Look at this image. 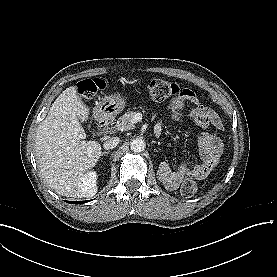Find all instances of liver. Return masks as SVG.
<instances>
[{
  "instance_id": "liver-1",
  "label": "liver",
  "mask_w": 277,
  "mask_h": 277,
  "mask_svg": "<svg viewBox=\"0 0 277 277\" xmlns=\"http://www.w3.org/2000/svg\"><path fill=\"white\" fill-rule=\"evenodd\" d=\"M89 118V107L78 96L77 88L64 90L39 125L35 156L47 184L59 195L81 197L80 178L101 156V144L85 141L81 122Z\"/></svg>"
}]
</instances>
